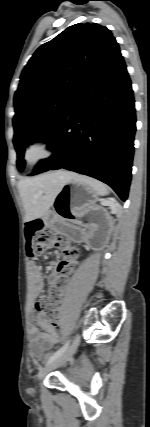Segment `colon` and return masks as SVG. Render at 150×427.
Returning <instances> with one entry per match:
<instances>
[{
  "label": "colon",
  "mask_w": 150,
  "mask_h": 427,
  "mask_svg": "<svg viewBox=\"0 0 150 427\" xmlns=\"http://www.w3.org/2000/svg\"><path fill=\"white\" fill-rule=\"evenodd\" d=\"M26 251L30 258L39 257L46 249L59 247L63 259L59 268L58 277L50 284L49 294L42 297L36 304V309L45 322L53 328L60 326L61 294L68 283L74 262L78 257V250L66 240L55 235L41 220H33L26 225Z\"/></svg>",
  "instance_id": "1"
}]
</instances>
